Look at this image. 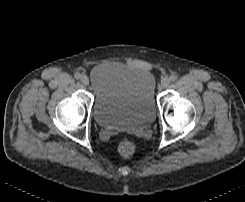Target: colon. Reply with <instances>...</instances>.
Here are the masks:
<instances>
[{"label": "colon", "instance_id": "obj_1", "mask_svg": "<svg viewBox=\"0 0 245 202\" xmlns=\"http://www.w3.org/2000/svg\"><path fill=\"white\" fill-rule=\"evenodd\" d=\"M118 152L122 157L131 158L136 153V146L130 140H122L118 145Z\"/></svg>", "mask_w": 245, "mask_h": 202}]
</instances>
